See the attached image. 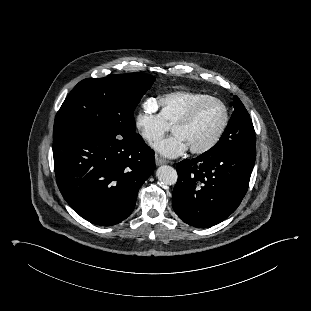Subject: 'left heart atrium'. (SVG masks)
Returning <instances> with one entry per match:
<instances>
[{
	"label": "left heart atrium",
	"instance_id": "1",
	"mask_svg": "<svg viewBox=\"0 0 311 311\" xmlns=\"http://www.w3.org/2000/svg\"><path fill=\"white\" fill-rule=\"evenodd\" d=\"M154 148L160 155L167 158L179 157L189 149L184 139L177 134L159 141Z\"/></svg>",
	"mask_w": 311,
	"mask_h": 311
}]
</instances>
